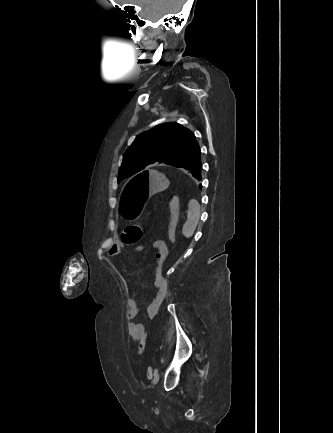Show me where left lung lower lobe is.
I'll list each match as a JSON object with an SVG mask.
<instances>
[{
  "label": "left lung lower lobe",
  "instance_id": "1",
  "mask_svg": "<svg viewBox=\"0 0 333 433\" xmlns=\"http://www.w3.org/2000/svg\"><path fill=\"white\" fill-rule=\"evenodd\" d=\"M183 169L187 170L192 174L197 180H201V171H202V162H201V152L194 159L187 162L183 167Z\"/></svg>",
  "mask_w": 333,
  "mask_h": 433
}]
</instances>
